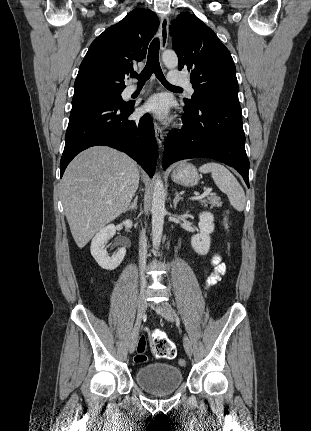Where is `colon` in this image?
<instances>
[{
	"instance_id": "colon-1",
	"label": "colon",
	"mask_w": 311,
	"mask_h": 431,
	"mask_svg": "<svg viewBox=\"0 0 311 431\" xmlns=\"http://www.w3.org/2000/svg\"><path fill=\"white\" fill-rule=\"evenodd\" d=\"M224 223L226 227L229 226L230 221L227 215L224 218ZM152 352L155 357L161 358V359H171L175 357L176 355V348L172 341L167 339L164 336H157L152 341ZM146 348H147V340L144 336H141L138 345H137V354L134 357V360L136 363H143L147 360L146 355ZM179 366H185L186 360L183 358H180L178 360Z\"/></svg>"
}]
</instances>
